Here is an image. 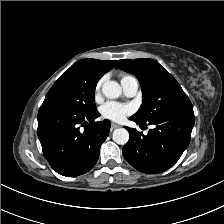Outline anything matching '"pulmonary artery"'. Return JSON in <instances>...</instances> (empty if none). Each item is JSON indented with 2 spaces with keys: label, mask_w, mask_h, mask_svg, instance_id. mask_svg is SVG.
Wrapping results in <instances>:
<instances>
[{
  "label": "pulmonary artery",
  "mask_w": 224,
  "mask_h": 224,
  "mask_svg": "<svg viewBox=\"0 0 224 224\" xmlns=\"http://www.w3.org/2000/svg\"><path fill=\"white\" fill-rule=\"evenodd\" d=\"M123 91L126 96L132 97L137 93L138 81L134 77H129L121 82Z\"/></svg>",
  "instance_id": "obj_1"
}]
</instances>
